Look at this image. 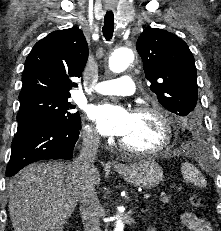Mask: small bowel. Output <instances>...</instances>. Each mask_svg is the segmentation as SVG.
<instances>
[{
  "label": "small bowel",
  "instance_id": "1",
  "mask_svg": "<svg viewBox=\"0 0 221 231\" xmlns=\"http://www.w3.org/2000/svg\"><path fill=\"white\" fill-rule=\"evenodd\" d=\"M181 219L183 224L191 231H211V226L208 222L191 212H184L181 215ZM149 231H155V229L150 228Z\"/></svg>",
  "mask_w": 221,
  "mask_h": 231
}]
</instances>
